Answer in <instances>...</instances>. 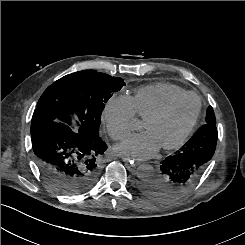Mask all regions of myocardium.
<instances>
[{
    "label": "myocardium",
    "instance_id": "1",
    "mask_svg": "<svg viewBox=\"0 0 245 245\" xmlns=\"http://www.w3.org/2000/svg\"><path fill=\"white\" fill-rule=\"evenodd\" d=\"M188 97H195L198 101V108H197L196 115H195L194 119L192 120V122L190 123V125L187 127V129L182 133V135L176 141H174L173 143L161 146V148L165 151H170V150H174V149L181 147L187 141V139L189 138V136L193 132L195 126L197 125V122L199 120L200 113H201L202 103H201L200 98L195 93L187 92L184 95H181V96H178V97H175V98L169 100L167 103H165L163 106H161L158 110H156L154 113H152L150 116H148L144 120V125H146V124H149L151 122H154L156 120L161 119L176 104H178L179 102L183 101L184 99H186Z\"/></svg>",
    "mask_w": 245,
    "mask_h": 245
}]
</instances>
